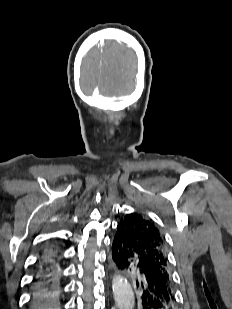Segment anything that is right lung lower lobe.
<instances>
[{"label": "right lung lower lobe", "mask_w": 232, "mask_h": 309, "mask_svg": "<svg viewBox=\"0 0 232 309\" xmlns=\"http://www.w3.org/2000/svg\"><path fill=\"white\" fill-rule=\"evenodd\" d=\"M56 256L44 254L33 280L32 309H61V285Z\"/></svg>", "instance_id": "98d812e1"}]
</instances>
